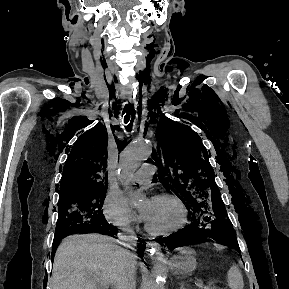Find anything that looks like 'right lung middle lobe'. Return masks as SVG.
Wrapping results in <instances>:
<instances>
[{
	"mask_svg": "<svg viewBox=\"0 0 289 289\" xmlns=\"http://www.w3.org/2000/svg\"><path fill=\"white\" fill-rule=\"evenodd\" d=\"M106 191L107 188H102L60 197L55 237L68 236L72 230L84 224L105 220L101 209Z\"/></svg>",
	"mask_w": 289,
	"mask_h": 289,
	"instance_id": "dd1d6c3e",
	"label": "right lung middle lobe"
}]
</instances>
